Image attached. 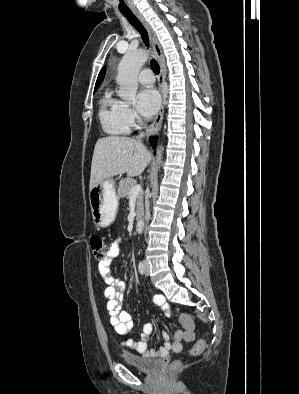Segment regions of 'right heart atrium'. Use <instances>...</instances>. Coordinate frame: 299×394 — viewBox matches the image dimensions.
<instances>
[{"label": "right heart atrium", "mask_w": 299, "mask_h": 394, "mask_svg": "<svg viewBox=\"0 0 299 394\" xmlns=\"http://www.w3.org/2000/svg\"><path fill=\"white\" fill-rule=\"evenodd\" d=\"M124 118L129 128L134 127L137 123V115L135 111L129 106H125L124 108Z\"/></svg>", "instance_id": "right-heart-atrium-1"}]
</instances>
